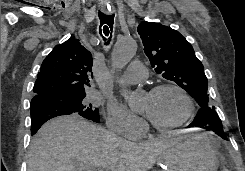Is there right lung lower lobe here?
<instances>
[{
    "instance_id": "1",
    "label": "right lung lower lobe",
    "mask_w": 245,
    "mask_h": 171,
    "mask_svg": "<svg viewBox=\"0 0 245 171\" xmlns=\"http://www.w3.org/2000/svg\"><path fill=\"white\" fill-rule=\"evenodd\" d=\"M31 135L35 134L39 128L49 119L75 113L61 102L51 98L36 99L31 101ZM96 122V121H94Z\"/></svg>"
}]
</instances>
